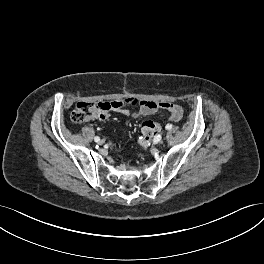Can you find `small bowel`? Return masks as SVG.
<instances>
[{
  "label": "small bowel",
  "instance_id": "c3829d8e",
  "mask_svg": "<svg viewBox=\"0 0 264 264\" xmlns=\"http://www.w3.org/2000/svg\"><path fill=\"white\" fill-rule=\"evenodd\" d=\"M132 103L126 107L117 109L125 117H140L153 115L159 110H167L170 112V120L177 122L182 118V108L171 102H158V101H147L131 99ZM136 107V112L132 113L128 107Z\"/></svg>",
  "mask_w": 264,
  "mask_h": 264
}]
</instances>
